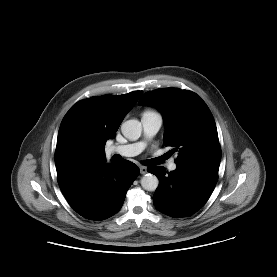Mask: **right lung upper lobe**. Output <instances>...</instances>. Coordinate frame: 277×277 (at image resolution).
Returning a JSON list of instances; mask_svg holds the SVG:
<instances>
[{"label":"right lung upper lobe","instance_id":"obj_1","mask_svg":"<svg viewBox=\"0 0 277 277\" xmlns=\"http://www.w3.org/2000/svg\"><path fill=\"white\" fill-rule=\"evenodd\" d=\"M142 93L94 96L73 105L59 128L55 151L58 177L106 161V141L115 136Z\"/></svg>","mask_w":277,"mask_h":277}]
</instances>
